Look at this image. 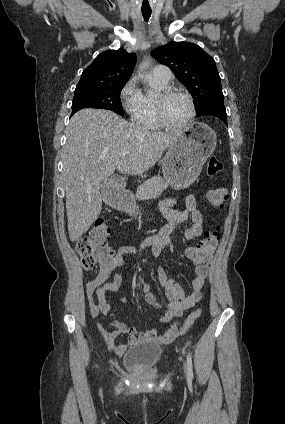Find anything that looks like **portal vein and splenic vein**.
I'll use <instances>...</instances> for the list:
<instances>
[{
    "mask_svg": "<svg viewBox=\"0 0 285 424\" xmlns=\"http://www.w3.org/2000/svg\"><path fill=\"white\" fill-rule=\"evenodd\" d=\"M129 154L128 151L122 153V157H126Z\"/></svg>",
    "mask_w": 285,
    "mask_h": 424,
    "instance_id": "18ae733b",
    "label": "portal vein and splenic vein"
}]
</instances>
